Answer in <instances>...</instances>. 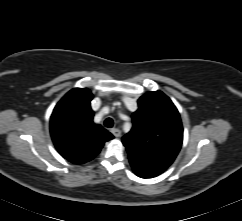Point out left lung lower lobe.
Instances as JSON below:
<instances>
[{"label":"left lung lower lobe","mask_w":242,"mask_h":221,"mask_svg":"<svg viewBox=\"0 0 242 221\" xmlns=\"http://www.w3.org/2000/svg\"><path fill=\"white\" fill-rule=\"evenodd\" d=\"M129 161L134 173L141 178H152L162 172L168 167L159 163L145 161L137 159L133 156H129Z\"/></svg>","instance_id":"obj_1"}]
</instances>
